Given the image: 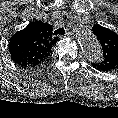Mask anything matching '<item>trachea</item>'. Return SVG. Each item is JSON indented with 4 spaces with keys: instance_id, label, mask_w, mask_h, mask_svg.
I'll list each match as a JSON object with an SVG mask.
<instances>
[{
    "instance_id": "obj_1",
    "label": "trachea",
    "mask_w": 118,
    "mask_h": 118,
    "mask_svg": "<svg viewBox=\"0 0 118 118\" xmlns=\"http://www.w3.org/2000/svg\"><path fill=\"white\" fill-rule=\"evenodd\" d=\"M54 35H65V30L63 28H59L54 31Z\"/></svg>"
}]
</instances>
